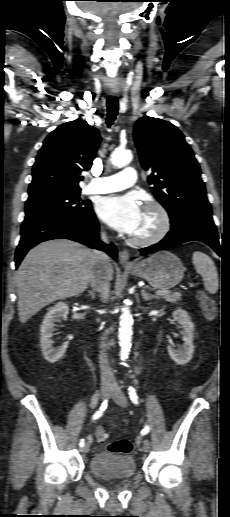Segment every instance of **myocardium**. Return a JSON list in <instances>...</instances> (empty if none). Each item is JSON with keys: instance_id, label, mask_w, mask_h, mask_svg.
Masks as SVG:
<instances>
[{"instance_id": "obj_1", "label": "myocardium", "mask_w": 230, "mask_h": 517, "mask_svg": "<svg viewBox=\"0 0 230 517\" xmlns=\"http://www.w3.org/2000/svg\"><path fill=\"white\" fill-rule=\"evenodd\" d=\"M144 209L153 210L158 217V226L150 235L144 237L131 236L130 242L135 246H149L164 239L171 230L172 220L167 208L157 200H149Z\"/></svg>"}]
</instances>
